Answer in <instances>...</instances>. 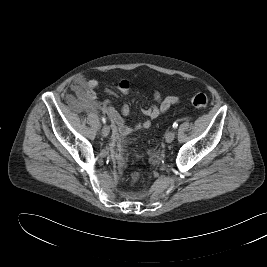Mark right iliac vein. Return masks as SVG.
I'll use <instances>...</instances> for the list:
<instances>
[{"label": "right iliac vein", "mask_w": 267, "mask_h": 267, "mask_svg": "<svg viewBox=\"0 0 267 267\" xmlns=\"http://www.w3.org/2000/svg\"><path fill=\"white\" fill-rule=\"evenodd\" d=\"M109 132H110V127L108 125H104L101 130L102 135L106 137L108 136Z\"/></svg>", "instance_id": "obj_1"}]
</instances>
